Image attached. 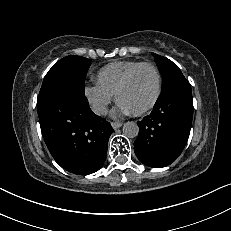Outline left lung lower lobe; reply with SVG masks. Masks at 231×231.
Listing matches in <instances>:
<instances>
[{"instance_id":"obj_1","label":"left lung lower lobe","mask_w":231,"mask_h":231,"mask_svg":"<svg viewBox=\"0 0 231 231\" xmlns=\"http://www.w3.org/2000/svg\"><path fill=\"white\" fill-rule=\"evenodd\" d=\"M193 116L191 85L179 78L162 88L150 115L138 122L134 142L138 159L153 168L170 165L181 154L189 137Z\"/></svg>"}]
</instances>
